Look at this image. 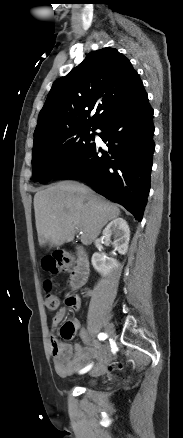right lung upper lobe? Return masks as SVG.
Listing matches in <instances>:
<instances>
[{
	"mask_svg": "<svg viewBox=\"0 0 183 438\" xmlns=\"http://www.w3.org/2000/svg\"><path fill=\"white\" fill-rule=\"evenodd\" d=\"M146 94L130 61L114 48L90 52L57 79L39 113L34 140L78 127H97ZM96 111L93 116L91 112Z\"/></svg>",
	"mask_w": 183,
	"mask_h": 438,
	"instance_id": "1",
	"label": "right lung upper lobe"
}]
</instances>
